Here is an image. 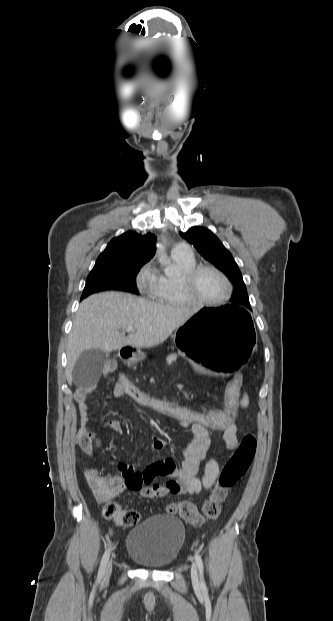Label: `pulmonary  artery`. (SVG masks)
<instances>
[{"instance_id":"pulmonary-artery-1","label":"pulmonary artery","mask_w":333,"mask_h":621,"mask_svg":"<svg viewBox=\"0 0 333 621\" xmlns=\"http://www.w3.org/2000/svg\"><path fill=\"white\" fill-rule=\"evenodd\" d=\"M172 253L176 255L186 256V257L193 256L192 249L186 243H178L176 246H174Z\"/></svg>"}]
</instances>
